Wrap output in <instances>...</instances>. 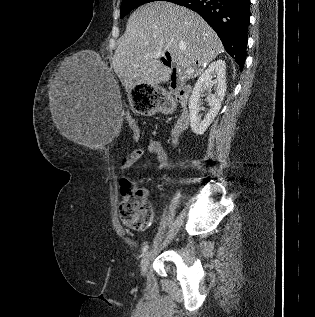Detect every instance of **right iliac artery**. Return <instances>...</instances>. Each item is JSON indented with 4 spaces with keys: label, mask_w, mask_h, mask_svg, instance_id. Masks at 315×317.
<instances>
[{
    "label": "right iliac artery",
    "mask_w": 315,
    "mask_h": 317,
    "mask_svg": "<svg viewBox=\"0 0 315 317\" xmlns=\"http://www.w3.org/2000/svg\"><path fill=\"white\" fill-rule=\"evenodd\" d=\"M148 250V245H145L143 248H142V253H146V251Z\"/></svg>",
    "instance_id": "right-iliac-artery-1"
}]
</instances>
